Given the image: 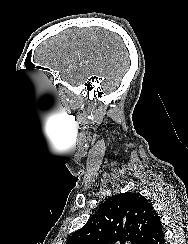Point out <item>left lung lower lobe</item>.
Masks as SVG:
<instances>
[{
    "label": "left lung lower lobe",
    "instance_id": "1",
    "mask_svg": "<svg viewBox=\"0 0 188 244\" xmlns=\"http://www.w3.org/2000/svg\"><path fill=\"white\" fill-rule=\"evenodd\" d=\"M165 237L160 221V217L156 214L151 222L145 244H165Z\"/></svg>",
    "mask_w": 188,
    "mask_h": 244
}]
</instances>
